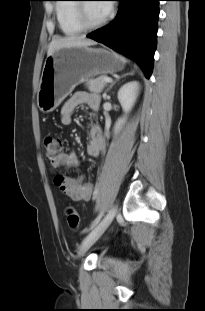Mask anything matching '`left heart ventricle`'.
Segmentation results:
<instances>
[{"mask_svg":"<svg viewBox=\"0 0 205 311\" xmlns=\"http://www.w3.org/2000/svg\"><path fill=\"white\" fill-rule=\"evenodd\" d=\"M86 16L90 23L95 24L105 18L106 14L103 11L100 3H86Z\"/></svg>","mask_w":205,"mask_h":311,"instance_id":"1","label":"left heart ventricle"}]
</instances>
